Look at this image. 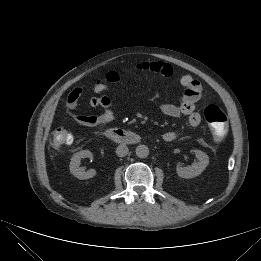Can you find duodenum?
Returning <instances> with one entry per match:
<instances>
[{
    "label": "duodenum",
    "mask_w": 261,
    "mask_h": 261,
    "mask_svg": "<svg viewBox=\"0 0 261 261\" xmlns=\"http://www.w3.org/2000/svg\"><path fill=\"white\" fill-rule=\"evenodd\" d=\"M105 135L107 138L121 144H135L140 141V136L137 133L122 128H109Z\"/></svg>",
    "instance_id": "1"
}]
</instances>
